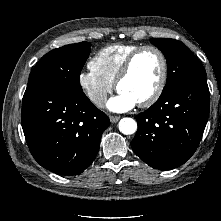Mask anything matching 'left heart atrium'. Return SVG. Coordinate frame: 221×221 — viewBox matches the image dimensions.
<instances>
[{"mask_svg": "<svg viewBox=\"0 0 221 221\" xmlns=\"http://www.w3.org/2000/svg\"><path fill=\"white\" fill-rule=\"evenodd\" d=\"M137 104V101L122 92L111 98L107 104L108 108L113 112H124L132 109Z\"/></svg>", "mask_w": 221, "mask_h": 221, "instance_id": "obj_1", "label": "left heart atrium"}]
</instances>
